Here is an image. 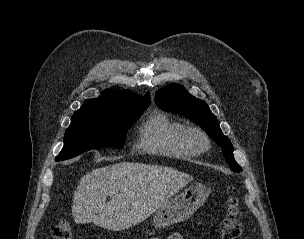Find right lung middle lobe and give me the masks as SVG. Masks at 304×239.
Wrapping results in <instances>:
<instances>
[{
  "label": "right lung middle lobe",
  "instance_id": "1",
  "mask_svg": "<svg viewBox=\"0 0 304 239\" xmlns=\"http://www.w3.org/2000/svg\"><path fill=\"white\" fill-rule=\"evenodd\" d=\"M147 107L127 108L115 114L74 115L64 137V147L56 161L102 147L122 148L126 132Z\"/></svg>",
  "mask_w": 304,
  "mask_h": 239
}]
</instances>
